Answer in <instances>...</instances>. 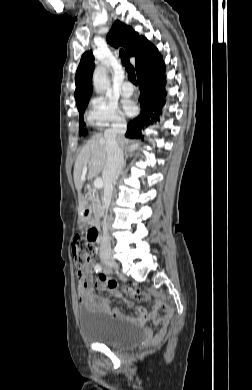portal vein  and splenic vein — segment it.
I'll return each instance as SVG.
<instances>
[{
	"label": "portal vein and splenic vein",
	"mask_w": 252,
	"mask_h": 390,
	"mask_svg": "<svg viewBox=\"0 0 252 390\" xmlns=\"http://www.w3.org/2000/svg\"><path fill=\"white\" fill-rule=\"evenodd\" d=\"M87 168L85 167V170H86ZM94 186H95V188H102L103 187V181H102V179L101 178H96L95 180H94Z\"/></svg>",
	"instance_id": "18ae733b"
}]
</instances>
